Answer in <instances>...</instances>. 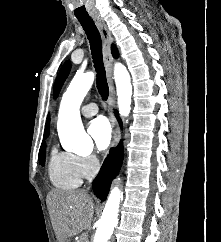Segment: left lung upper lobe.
Returning a JSON list of instances; mask_svg holds the SVG:
<instances>
[{"mask_svg": "<svg viewBox=\"0 0 221 242\" xmlns=\"http://www.w3.org/2000/svg\"><path fill=\"white\" fill-rule=\"evenodd\" d=\"M70 68H71V63L70 61H66L65 64L62 66L60 72H59V75L56 79V82H55V85H54V97H57L60 89H61V86L63 84V82L65 81L69 71H70Z\"/></svg>", "mask_w": 221, "mask_h": 242, "instance_id": "5c2ea615", "label": "left lung upper lobe"}]
</instances>
